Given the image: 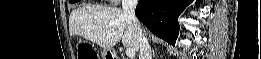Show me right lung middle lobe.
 Listing matches in <instances>:
<instances>
[{"mask_svg": "<svg viewBox=\"0 0 261 59\" xmlns=\"http://www.w3.org/2000/svg\"><path fill=\"white\" fill-rule=\"evenodd\" d=\"M71 3L77 2V1H70Z\"/></svg>", "mask_w": 261, "mask_h": 59, "instance_id": "right-lung-middle-lobe-1", "label": "right lung middle lobe"}]
</instances>
